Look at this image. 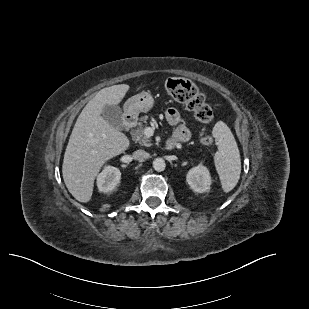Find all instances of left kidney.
<instances>
[{
  "label": "left kidney",
  "instance_id": "obj_1",
  "mask_svg": "<svg viewBox=\"0 0 309 309\" xmlns=\"http://www.w3.org/2000/svg\"><path fill=\"white\" fill-rule=\"evenodd\" d=\"M186 181L198 193L208 191L212 182L209 170L201 164L189 170Z\"/></svg>",
  "mask_w": 309,
  "mask_h": 309
}]
</instances>
